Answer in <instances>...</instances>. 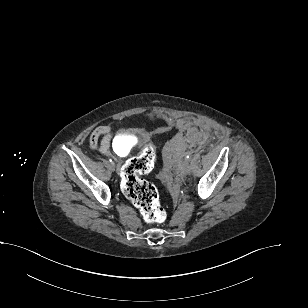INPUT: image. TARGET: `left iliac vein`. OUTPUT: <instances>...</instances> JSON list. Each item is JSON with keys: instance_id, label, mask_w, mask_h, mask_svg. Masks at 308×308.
<instances>
[{"instance_id": "4c4485c4", "label": "left iliac vein", "mask_w": 308, "mask_h": 308, "mask_svg": "<svg viewBox=\"0 0 308 308\" xmlns=\"http://www.w3.org/2000/svg\"><path fill=\"white\" fill-rule=\"evenodd\" d=\"M189 172H190V165L188 161H184L182 165L180 166V174L184 175V174H188Z\"/></svg>"}]
</instances>
